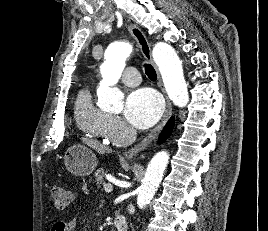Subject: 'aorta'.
<instances>
[{
    "label": "aorta",
    "instance_id": "aorta-1",
    "mask_svg": "<svg viewBox=\"0 0 268 231\" xmlns=\"http://www.w3.org/2000/svg\"><path fill=\"white\" fill-rule=\"evenodd\" d=\"M132 47L125 42H115L105 51V61L101 66L102 80L97 89L100 108L113 111L123 109V93L115 88L126 65ZM153 60L159 68L166 92L178 107H185L189 101L182 63L174 48L164 42L153 47ZM169 162L167 151L156 153L149 162L141 186L138 188L137 205L144 208L156 193Z\"/></svg>",
    "mask_w": 268,
    "mask_h": 231
}]
</instances>
